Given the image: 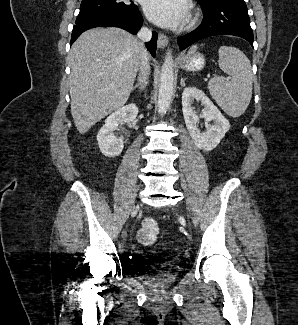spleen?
<instances>
[{"mask_svg":"<svg viewBox=\"0 0 298 325\" xmlns=\"http://www.w3.org/2000/svg\"><path fill=\"white\" fill-rule=\"evenodd\" d=\"M198 48V44H193L188 54H193ZM218 62L221 70L230 74V80L213 76L208 82L209 92L226 114L234 118L241 116L252 96L253 74L250 60L235 46H220Z\"/></svg>","mask_w":298,"mask_h":325,"instance_id":"1","label":"spleen"}]
</instances>
